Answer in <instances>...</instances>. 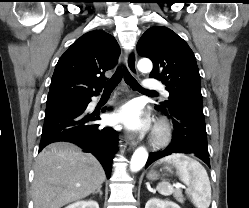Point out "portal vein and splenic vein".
Wrapping results in <instances>:
<instances>
[{
	"mask_svg": "<svg viewBox=\"0 0 249 208\" xmlns=\"http://www.w3.org/2000/svg\"><path fill=\"white\" fill-rule=\"evenodd\" d=\"M174 186H175L176 188L183 187V185H182V184H180V183H176V184H174Z\"/></svg>",
	"mask_w": 249,
	"mask_h": 208,
	"instance_id": "18ae733b",
	"label": "portal vein and splenic vein"
}]
</instances>
